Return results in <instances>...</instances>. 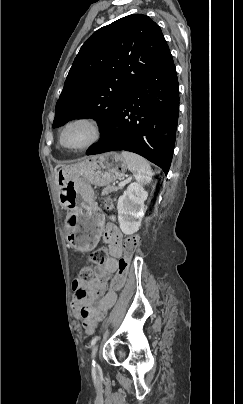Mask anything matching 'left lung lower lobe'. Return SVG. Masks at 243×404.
<instances>
[{
	"label": "left lung lower lobe",
	"mask_w": 243,
	"mask_h": 404,
	"mask_svg": "<svg viewBox=\"0 0 243 404\" xmlns=\"http://www.w3.org/2000/svg\"><path fill=\"white\" fill-rule=\"evenodd\" d=\"M179 114V86L170 54L130 91L101 129V140L87 155L107 151L135 152L168 173Z\"/></svg>",
	"instance_id": "obj_1"
}]
</instances>
